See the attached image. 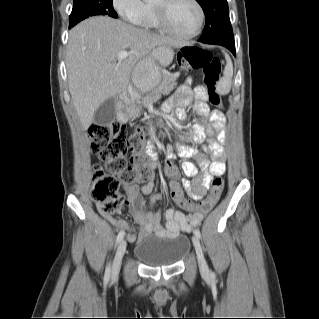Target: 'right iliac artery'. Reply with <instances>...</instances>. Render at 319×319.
<instances>
[{
    "label": "right iliac artery",
    "mask_w": 319,
    "mask_h": 319,
    "mask_svg": "<svg viewBox=\"0 0 319 319\" xmlns=\"http://www.w3.org/2000/svg\"><path fill=\"white\" fill-rule=\"evenodd\" d=\"M125 233L124 231H120L117 235V238H116V245L123 239ZM110 274H111V266H110V263L107 265L106 267V271H105V275H104V281L105 282H108L109 279H110Z\"/></svg>",
    "instance_id": "obj_1"
}]
</instances>
